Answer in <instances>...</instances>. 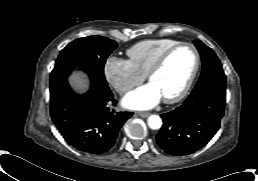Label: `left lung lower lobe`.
I'll return each mask as SVG.
<instances>
[{
  "label": "left lung lower lobe",
  "instance_id": "0a47b994",
  "mask_svg": "<svg viewBox=\"0 0 258 181\" xmlns=\"http://www.w3.org/2000/svg\"><path fill=\"white\" fill-rule=\"evenodd\" d=\"M225 93V83H209L193 90L180 107L162 114L164 124L156 136L159 147L176 156L204 147L220 127Z\"/></svg>",
  "mask_w": 258,
  "mask_h": 181
}]
</instances>
